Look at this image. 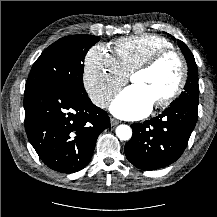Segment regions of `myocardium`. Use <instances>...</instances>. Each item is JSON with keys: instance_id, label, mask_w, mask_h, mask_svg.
Masks as SVG:
<instances>
[{"instance_id": "f54148a6", "label": "myocardium", "mask_w": 217, "mask_h": 217, "mask_svg": "<svg viewBox=\"0 0 217 217\" xmlns=\"http://www.w3.org/2000/svg\"><path fill=\"white\" fill-rule=\"evenodd\" d=\"M169 58H174L177 61L178 67H179V75L178 80L176 83L175 88L173 91L168 94L166 97L157 100L154 104L156 107H166L170 104H172L184 91L187 77H188V68L186 61L181 53L174 49L164 50L157 54H155L153 57H151L149 60L144 62L143 64L136 67L130 75V81L131 77L138 73L143 72H150L155 70L161 63H163L165 60Z\"/></svg>"}]
</instances>
